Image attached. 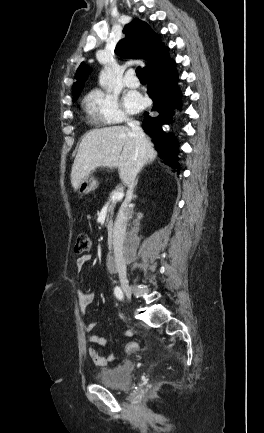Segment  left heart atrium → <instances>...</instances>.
Listing matches in <instances>:
<instances>
[{"label":"left heart atrium","instance_id":"left-heart-atrium-1","mask_svg":"<svg viewBox=\"0 0 264 433\" xmlns=\"http://www.w3.org/2000/svg\"><path fill=\"white\" fill-rule=\"evenodd\" d=\"M124 103L128 111L137 112L144 106V100L139 94L129 93L125 96Z\"/></svg>","mask_w":264,"mask_h":433}]
</instances>
